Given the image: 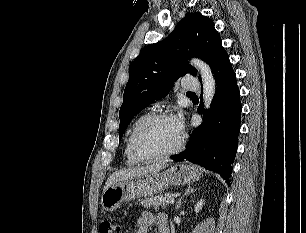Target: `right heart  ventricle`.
<instances>
[{
	"instance_id": "right-heart-ventricle-1",
	"label": "right heart ventricle",
	"mask_w": 306,
	"mask_h": 233,
	"mask_svg": "<svg viewBox=\"0 0 306 233\" xmlns=\"http://www.w3.org/2000/svg\"><path fill=\"white\" fill-rule=\"evenodd\" d=\"M148 116H149V113H142L133 121V123L130 126V129L127 135V139H126V144H125V156L127 158L128 164H135L141 161V159H138L132 152L131 138H132L134 131L139 126V124Z\"/></svg>"
}]
</instances>
